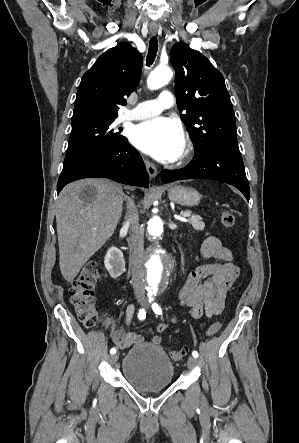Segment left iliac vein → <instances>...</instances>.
Here are the masks:
<instances>
[{
    "instance_id": "left-iliac-vein-1",
    "label": "left iliac vein",
    "mask_w": 299,
    "mask_h": 443,
    "mask_svg": "<svg viewBox=\"0 0 299 443\" xmlns=\"http://www.w3.org/2000/svg\"><path fill=\"white\" fill-rule=\"evenodd\" d=\"M187 365H188V367H189L190 369H193V368L197 365V360H196V358L193 357V356H190V357L188 358Z\"/></svg>"
}]
</instances>
